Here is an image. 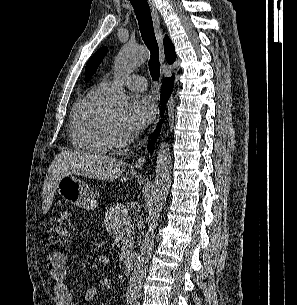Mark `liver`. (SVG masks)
<instances>
[{
	"mask_svg": "<svg viewBox=\"0 0 297 305\" xmlns=\"http://www.w3.org/2000/svg\"><path fill=\"white\" fill-rule=\"evenodd\" d=\"M126 168V163L108 156L86 154L80 151H62L52 161L43 188V214L53 202L56 186L63 176L81 175L99 180L114 181Z\"/></svg>",
	"mask_w": 297,
	"mask_h": 305,
	"instance_id": "obj_1",
	"label": "liver"
}]
</instances>
